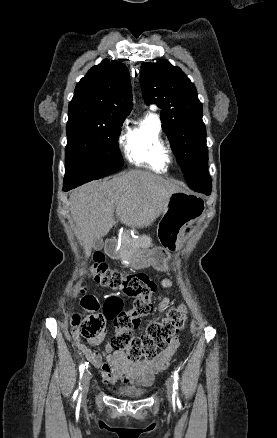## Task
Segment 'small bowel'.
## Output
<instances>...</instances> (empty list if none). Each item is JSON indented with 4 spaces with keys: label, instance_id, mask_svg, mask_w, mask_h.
Returning a JSON list of instances; mask_svg holds the SVG:
<instances>
[{
    "label": "small bowel",
    "instance_id": "obj_1",
    "mask_svg": "<svg viewBox=\"0 0 277 438\" xmlns=\"http://www.w3.org/2000/svg\"><path fill=\"white\" fill-rule=\"evenodd\" d=\"M172 285V281L164 279L161 281V286L169 288ZM159 303L157 311L162 313L166 311L169 305V299L163 296L158 297ZM106 332H102L99 336L88 340L91 344L100 343L105 337ZM72 339L77 343L80 348L83 347L82 339L77 331L71 333ZM179 345V339L174 337L171 340L169 347L158 355L156 358L149 360H139L136 362L127 359L125 354L120 351H114L110 343L105 345V348L96 350V353L100 355L97 357L95 354H91L85 346L83 350L86 355H89L88 360L92 363L93 367H101L100 375L104 381L110 384L121 380L125 383H132L140 387L150 386L157 374L162 372L169 364L173 354L175 353ZM111 367V368H110Z\"/></svg>",
    "mask_w": 277,
    "mask_h": 438
}]
</instances>
